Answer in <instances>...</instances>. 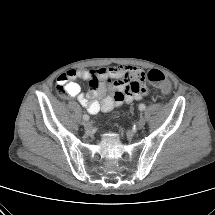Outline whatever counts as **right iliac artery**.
Returning <instances> with one entry per match:
<instances>
[{"label": "right iliac artery", "mask_w": 215, "mask_h": 215, "mask_svg": "<svg viewBox=\"0 0 215 215\" xmlns=\"http://www.w3.org/2000/svg\"><path fill=\"white\" fill-rule=\"evenodd\" d=\"M83 119H84L85 121H87V120L89 119V116H88L87 114H84V115H83Z\"/></svg>", "instance_id": "obj_1"}]
</instances>
